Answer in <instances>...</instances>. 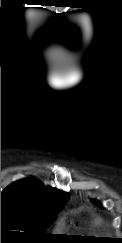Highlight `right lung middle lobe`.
Returning a JSON list of instances; mask_svg holds the SVG:
<instances>
[{"instance_id":"obj_1","label":"right lung middle lobe","mask_w":122,"mask_h":243,"mask_svg":"<svg viewBox=\"0 0 122 243\" xmlns=\"http://www.w3.org/2000/svg\"><path fill=\"white\" fill-rule=\"evenodd\" d=\"M62 207H38L15 199H1V234L20 229L31 237L48 238L44 231L53 223Z\"/></svg>"}]
</instances>
